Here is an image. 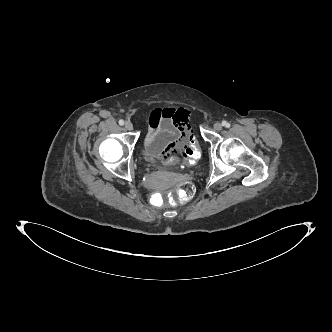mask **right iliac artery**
Segmentation results:
<instances>
[{"instance_id": "82829eb1", "label": "right iliac artery", "mask_w": 332, "mask_h": 332, "mask_svg": "<svg viewBox=\"0 0 332 332\" xmlns=\"http://www.w3.org/2000/svg\"><path fill=\"white\" fill-rule=\"evenodd\" d=\"M119 125H121V126L124 125V120H122V119L119 120Z\"/></svg>"}]
</instances>
